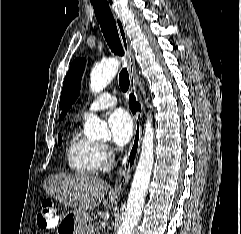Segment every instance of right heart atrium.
<instances>
[{
	"mask_svg": "<svg viewBox=\"0 0 241 234\" xmlns=\"http://www.w3.org/2000/svg\"><path fill=\"white\" fill-rule=\"evenodd\" d=\"M100 154L102 157L103 163H107V161L111 158L112 155V149L107 144H101L100 145Z\"/></svg>",
	"mask_w": 241,
	"mask_h": 234,
	"instance_id": "obj_1",
	"label": "right heart atrium"
}]
</instances>
